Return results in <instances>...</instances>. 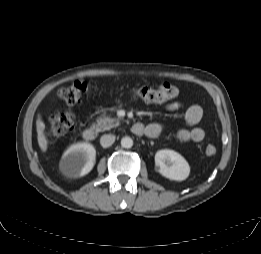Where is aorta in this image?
<instances>
[{
    "mask_svg": "<svg viewBox=\"0 0 261 254\" xmlns=\"http://www.w3.org/2000/svg\"><path fill=\"white\" fill-rule=\"evenodd\" d=\"M121 146L123 148H131L133 146V140L130 137H123L121 139Z\"/></svg>",
    "mask_w": 261,
    "mask_h": 254,
    "instance_id": "1",
    "label": "aorta"
}]
</instances>
